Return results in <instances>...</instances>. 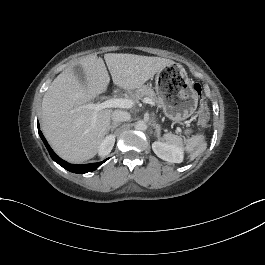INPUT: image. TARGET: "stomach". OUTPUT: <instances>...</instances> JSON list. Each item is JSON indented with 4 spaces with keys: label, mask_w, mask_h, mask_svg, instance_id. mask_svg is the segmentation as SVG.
<instances>
[{
    "label": "stomach",
    "mask_w": 265,
    "mask_h": 265,
    "mask_svg": "<svg viewBox=\"0 0 265 265\" xmlns=\"http://www.w3.org/2000/svg\"><path fill=\"white\" fill-rule=\"evenodd\" d=\"M155 90L165 116L173 122L187 119L197 108V94L179 64L168 65L157 73Z\"/></svg>",
    "instance_id": "0dacf381"
}]
</instances>
